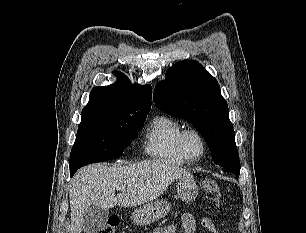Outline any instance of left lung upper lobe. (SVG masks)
I'll use <instances>...</instances> for the list:
<instances>
[{"label": "left lung upper lobe", "mask_w": 306, "mask_h": 233, "mask_svg": "<svg viewBox=\"0 0 306 233\" xmlns=\"http://www.w3.org/2000/svg\"><path fill=\"white\" fill-rule=\"evenodd\" d=\"M153 100L165 113L192 122L206 140L213 159L225 171L240 173L233 125L217 80L203 66L184 60L167 70Z\"/></svg>", "instance_id": "left-lung-upper-lobe-1"}]
</instances>
